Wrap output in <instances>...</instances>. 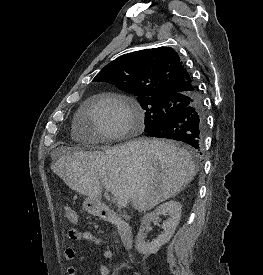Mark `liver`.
<instances>
[{"instance_id": "1", "label": "liver", "mask_w": 263, "mask_h": 275, "mask_svg": "<svg viewBox=\"0 0 263 275\" xmlns=\"http://www.w3.org/2000/svg\"><path fill=\"white\" fill-rule=\"evenodd\" d=\"M63 153L51 169L72 190L100 200L102 185L146 212L175 197L195 177L191 154L159 139H136L112 149Z\"/></svg>"}]
</instances>
